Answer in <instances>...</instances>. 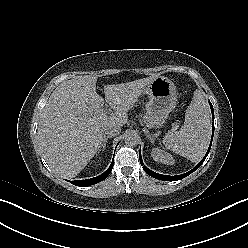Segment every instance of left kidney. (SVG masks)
Masks as SVG:
<instances>
[{
  "mask_svg": "<svg viewBox=\"0 0 248 248\" xmlns=\"http://www.w3.org/2000/svg\"><path fill=\"white\" fill-rule=\"evenodd\" d=\"M151 156L155 161L164 163L167 165H172L175 162L171 154L159 148L152 149Z\"/></svg>",
  "mask_w": 248,
  "mask_h": 248,
  "instance_id": "1",
  "label": "left kidney"
}]
</instances>
